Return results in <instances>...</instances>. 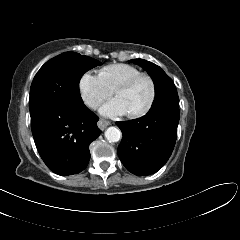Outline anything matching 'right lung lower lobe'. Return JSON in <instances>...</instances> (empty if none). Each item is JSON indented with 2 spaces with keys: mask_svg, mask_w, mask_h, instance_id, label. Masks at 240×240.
I'll list each match as a JSON object with an SVG mask.
<instances>
[{
  "mask_svg": "<svg viewBox=\"0 0 240 240\" xmlns=\"http://www.w3.org/2000/svg\"><path fill=\"white\" fill-rule=\"evenodd\" d=\"M98 119L83 103L54 105L31 116L35 145L52 172L66 176L86 168L89 144L101 133Z\"/></svg>",
  "mask_w": 240,
  "mask_h": 240,
  "instance_id": "right-lung-lower-lobe-1",
  "label": "right lung lower lobe"
}]
</instances>
